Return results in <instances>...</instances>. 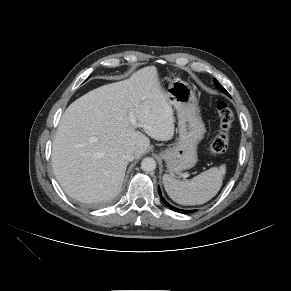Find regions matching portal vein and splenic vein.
<instances>
[{
    "label": "portal vein and splenic vein",
    "mask_w": 291,
    "mask_h": 291,
    "mask_svg": "<svg viewBox=\"0 0 291 291\" xmlns=\"http://www.w3.org/2000/svg\"><path fill=\"white\" fill-rule=\"evenodd\" d=\"M131 123H132L134 126H139V124L136 122V120L134 119L133 116H131Z\"/></svg>",
    "instance_id": "1"
}]
</instances>
